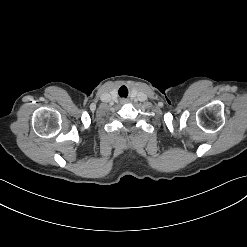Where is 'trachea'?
Wrapping results in <instances>:
<instances>
[{"mask_svg":"<svg viewBox=\"0 0 247 247\" xmlns=\"http://www.w3.org/2000/svg\"><path fill=\"white\" fill-rule=\"evenodd\" d=\"M124 93V94H123ZM119 95L120 97H127L128 95V90L125 86H122L120 89H119Z\"/></svg>","mask_w":247,"mask_h":247,"instance_id":"trachea-1","label":"trachea"}]
</instances>
